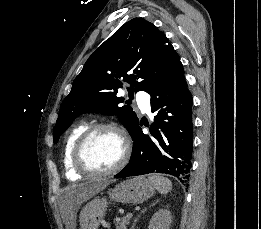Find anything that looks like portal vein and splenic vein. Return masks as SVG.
I'll return each mask as SVG.
<instances>
[{
  "label": "portal vein and splenic vein",
  "mask_w": 261,
  "mask_h": 229,
  "mask_svg": "<svg viewBox=\"0 0 261 229\" xmlns=\"http://www.w3.org/2000/svg\"><path fill=\"white\" fill-rule=\"evenodd\" d=\"M126 217H132L131 213H129V215H126Z\"/></svg>",
  "instance_id": "portal-vein-and-splenic-vein-1"
}]
</instances>
